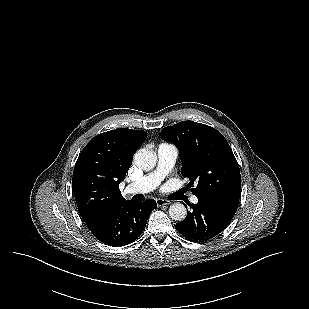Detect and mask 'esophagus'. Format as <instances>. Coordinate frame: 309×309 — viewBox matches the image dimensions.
I'll use <instances>...</instances> for the list:
<instances>
[{
    "mask_svg": "<svg viewBox=\"0 0 309 309\" xmlns=\"http://www.w3.org/2000/svg\"><path fill=\"white\" fill-rule=\"evenodd\" d=\"M156 204L158 207L164 206V205H170L171 201L166 199H156Z\"/></svg>",
    "mask_w": 309,
    "mask_h": 309,
    "instance_id": "34e87169",
    "label": "esophagus"
}]
</instances>
